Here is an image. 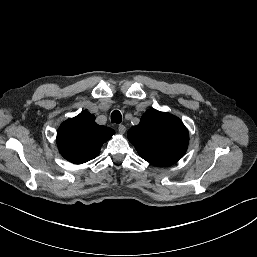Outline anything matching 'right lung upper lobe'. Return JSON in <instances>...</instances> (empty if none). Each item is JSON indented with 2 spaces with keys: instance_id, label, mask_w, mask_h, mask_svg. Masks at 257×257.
Here are the masks:
<instances>
[{
  "instance_id": "1",
  "label": "right lung upper lobe",
  "mask_w": 257,
  "mask_h": 257,
  "mask_svg": "<svg viewBox=\"0 0 257 257\" xmlns=\"http://www.w3.org/2000/svg\"><path fill=\"white\" fill-rule=\"evenodd\" d=\"M113 134V129L98 125L94 115L82 111L59 127L57 144L65 159L82 164L94 159Z\"/></svg>"
}]
</instances>
